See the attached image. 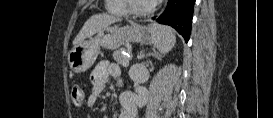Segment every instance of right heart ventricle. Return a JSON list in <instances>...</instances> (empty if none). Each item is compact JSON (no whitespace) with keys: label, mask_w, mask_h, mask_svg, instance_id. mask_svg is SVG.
<instances>
[{"label":"right heart ventricle","mask_w":273,"mask_h":118,"mask_svg":"<svg viewBox=\"0 0 273 118\" xmlns=\"http://www.w3.org/2000/svg\"><path fill=\"white\" fill-rule=\"evenodd\" d=\"M107 9L114 14H126L127 4L125 0H108Z\"/></svg>","instance_id":"obj_1"}]
</instances>
